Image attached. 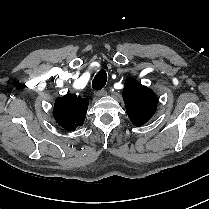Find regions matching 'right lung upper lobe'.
I'll list each match as a JSON object with an SVG mask.
<instances>
[{"instance_id": "cb5924a9", "label": "right lung upper lobe", "mask_w": 209, "mask_h": 209, "mask_svg": "<svg viewBox=\"0 0 209 209\" xmlns=\"http://www.w3.org/2000/svg\"><path fill=\"white\" fill-rule=\"evenodd\" d=\"M89 100L75 94H66L55 100L53 115L56 122L68 131L83 125Z\"/></svg>"}]
</instances>
